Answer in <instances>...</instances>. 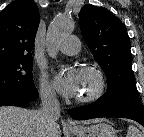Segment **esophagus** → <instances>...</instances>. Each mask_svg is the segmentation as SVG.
<instances>
[{
	"label": "esophagus",
	"instance_id": "34e87169",
	"mask_svg": "<svg viewBox=\"0 0 144 137\" xmlns=\"http://www.w3.org/2000/svg\"><path fill=\"white\" fill-rule=\"evenodd\" d=\"M66 126L69 128H75L76 123L73 120L69 119V120H67Z\"/></svg>",
	"mask_w": 144,
	"mask_h": 137
}]
</instances>
